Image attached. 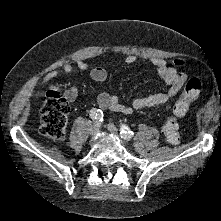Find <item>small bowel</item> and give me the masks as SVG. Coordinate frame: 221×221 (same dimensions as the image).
Here are the masks:
<instances>
[{
    "instance_id": "1",
    "label": "small bowel",
    "mask_w": 221,
    "mask_h": 221,
    "mask_svg": "<svg viewBox=\"0 0 221 221\" xmlns=\"http://www.w3.org/2000/svg\"><path fill=\"white\" fill-rule=\"evenodd\" d=\"M137 60L134 54H128L125 57L127 64H132ZM151 65L156 69L159 78L166 84L165 92H158L148 96H137L133 99L131 105L123 104L115 95H110L106 92H100L97 96L98 107L102 110L113 112H121L130 115L134 110L159 108L166 105L170 99L175 97L183 88L187 81V74L177 70L167 64L161 58L151 59ZM76 66L81 70H88L89 64L84 60H77ZM66 74H72L74 67L71 64H64L62 68ZM59 74L58 70L50 71L42 80V85H45L55 79ZM90 76L93 81L102 83L107 79V72L102 67H94L90 71Z\"/></svg>"
}]
</instances>
